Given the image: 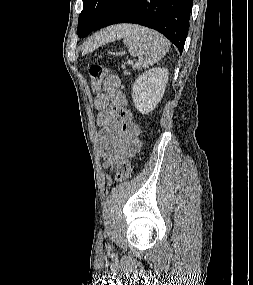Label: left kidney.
I'll return each mask as SVG.
<instances>
[{
    "mask_svg": "<svg viewBox=\"0 0 253 285\" xmlns=\"http://www.w3.org/2000/svg\"><path fill=\"white\" fill-rule=\"evenodd\" d=\"M168 69L152 68L140 75L134 82L132 98L136 109L148 114L161 101L168 82Z\"/></svg>",
    "mask_w": 253,
    "mask_h": 285,
    "instance_id": "1",
    "label": "left kidney"
}]
</instances>
